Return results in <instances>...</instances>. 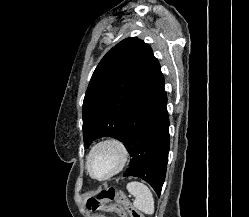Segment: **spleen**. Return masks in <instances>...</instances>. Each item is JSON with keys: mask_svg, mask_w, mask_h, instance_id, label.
<instances>
[{"mask_svg": "<svg viewBox=\"0 0 249 217\" xmlns=\"http://www.w3.org/2000/svg\"><path fill=\"white\" fill-rule=\"evenodd\" d=\"M127 190L135 197L133 205L145 214L152 215L154 213L153 194L145 184L132 181L127 184Z\"/></svg>", "mask_w": 249, "mask_h": 217, "instance_id": "1", "label": "spleen"}]
</instances>
